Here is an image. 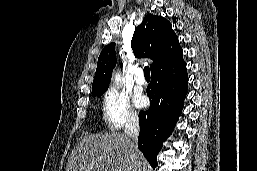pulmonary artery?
I'll return each mask as SVG.
<instances>
[{
  "label": "pulmonary artery",
  "mask_w": 257,
  "mask_h": 171,
  "mask_svg": "<svg viewBox=\"0 0 257 171\" xmlns=\"http://www.w3.org/2000/svg\"><path fill=\"white\" fill-rule=\"evenodd\" d=\"M135 82L138 85H144L145 84V77L143 75V71L141 69H138L135 74Z\"/></svg>",
  "instance_id": "e3ab8cb5"
}]
</instances>
